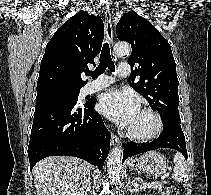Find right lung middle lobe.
Wrapping results in <instances>:
<instances>
[{"label":"right lung middle lobe","mask_w":211,"mask_h":195,"mask_svg":"<svg viewBox=\"0 0 211 195\" xmlns=\"http://www.w3.org/2000/svg\"><path fill=\"white\" fill-rule=\"evenodd\" d=\"M79 92H80V88L49 90V91L37 93L36 101L50 98L56 95H66V96H70L72 99L77 100Z\"/></svg>","instance_id":"obj_1"}]
</instances>
